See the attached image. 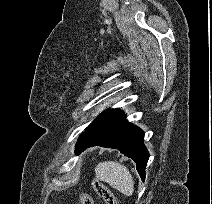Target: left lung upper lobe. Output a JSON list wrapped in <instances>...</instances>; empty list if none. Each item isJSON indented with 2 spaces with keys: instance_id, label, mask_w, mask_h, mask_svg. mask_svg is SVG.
I'll use <instances>...</instances> for the list:
<instances>
[{
  "instance_id": "1",
  "label": "left lung upper lobe",
  "mask_w": 212,
  "mask_h": 204,
  "mask_svg": "<svg viewBox=\"0 0 212 204\" xmlns=\"http://www.w3.org/2000/svg\"><path fill=\"white\" fill-rule=\"evenodd\" d=\"M110 111H111V110H108V111L102 113L95 121H93V123H91V124L88 126V128H89L90 126H92L93 124H95L96 122H98L101 118H103V117H104L106 114H108ZM88 128H87V129H88Z\"/></svg>"
}]
</instances>
